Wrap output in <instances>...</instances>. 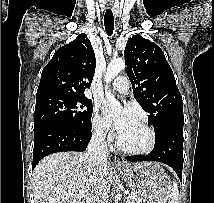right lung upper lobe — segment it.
Wrapping results in <instances>:
<instances>
[{
    "label": "right lung upper lobe",
    "mask_w": 214,
    "mask_h": 203,
    "mask_svg": "<svg viewBox=\"0 0 214 203\" xmlns=\"http://www.w3.org/2000/svg\"><path fill=\"white\" fill-rule=\"evenodd\" d=\"M95 53L85 33L59 48L43 69L36 98L51 94L83 95L90 88Z\"/></svg>",
    "instance_id": "right-lung-upper-lobe-1"
}]
</instances>
